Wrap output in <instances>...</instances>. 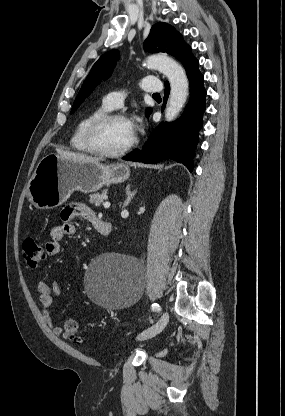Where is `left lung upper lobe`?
<instances>
[{
	"mask_svg": "<svg viewBox=\"0 0 285 416\" xmlns=\"http://www.w3.org/2000/svg\"><path fill=\"white\" fill-rule=\"evenodd\" d=\"M144 50L149 53L164 52L171 54L180 60L184 66L191 59L195 58L191 54V47L183 41L181 34L171 25L163 22H159L152 26L150 34L144 42ZM118 57V51L111 50L103 54L93 65L74 101L71 114L77 110L85 98L103 79H107L111 76ZM151 112L152 109H147V116Z\"/></svg>",
	"mask_w": 285,
	"mask_h": 416,
	"instance_id": "obj_1",
	"label": "left lung upper lobe"
}]
</instances>
